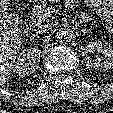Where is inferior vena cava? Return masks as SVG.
<instances>
[{
  "label": "inferior vena cava",
  "instance_id": "1",
  "mask_svg": "<svg viewBox=\"0 0 113 113\" xmlns=\"http://www.w3.org/2000/svg\"><path fill=\"white\" fill-rule=\"evenodd\" d=\"M50 28H51L50 24H41V25H38L34 29V32L39 33V34H43V33L47 32Z\"/></svg>",
  "mask_w": 113,
  "mask_h": 113
}]
</instances>
